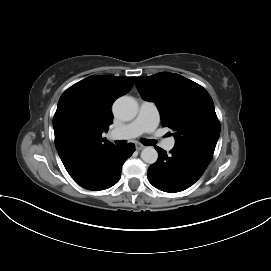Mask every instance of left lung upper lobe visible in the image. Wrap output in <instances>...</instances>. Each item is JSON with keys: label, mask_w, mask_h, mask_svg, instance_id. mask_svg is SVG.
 <instances>
[{"label": "left lung upper lobe", "mask_w": 271, "mask_h": 271, "mask_svg": "<svg viewBox=\"0 0 271 271\" xmlns=\"http://www.w3.org/2000/svg\"><path fill=\"white\" fill-rule=\"evenodd\" d=\"M142 98L156 103L162 124L173 130L174 147L213 155L220 123L209 93L197 83L169 72L136 77Z\"/></svg>", "instance_id": "5c2ea615"}]
</instances>
